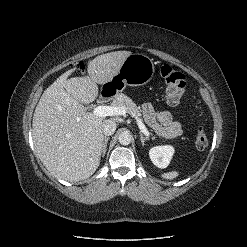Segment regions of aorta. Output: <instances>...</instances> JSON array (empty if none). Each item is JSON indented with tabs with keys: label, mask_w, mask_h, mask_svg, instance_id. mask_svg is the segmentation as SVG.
I'll return each instance as SVG.
<instances>
[{
	"label": "aorta",
	"mask_w": 247,
	"mask_h": 247,
	"mask_svg": "<svg viewBox=\"0 0 247 247\" xmlns=\"http://www.w3.org/2000/svg\"><path fill=\"white\" fill-rule=\"evenodd\" d=\"M118 141H119V143H120L121 145L126 146V145H129V144L131 143L132 137H131V135H130L129 133L123 132V133H121V134L119 135Z\"/></svg>",
	"instance_id": "aorta-1"
}]
</instances>
